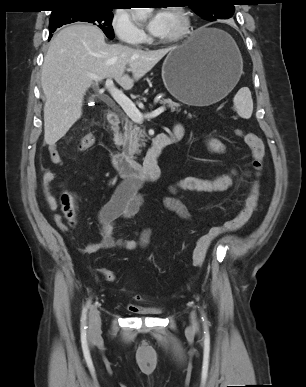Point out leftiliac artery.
<instances>
[{
  "label": "left iliac artery",
  "mask_w": 306,
  "mask_h": 387,
  "mask_svg": "<svg viewBox=\"0 0 306 387\" xmlns=\"http://www.w3.org/2000/svg\"><path fill=\"white\" fill-rule=\"evenodd\" d=\"M202 319H203V321H204V323L206 324V316H205V314L202 312Z\"/></svg>",
  "instance_id": "obj_1"
}]
</instances>
